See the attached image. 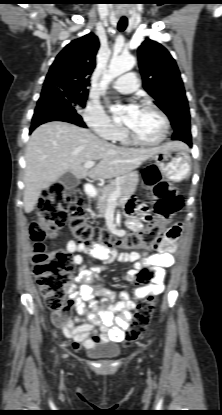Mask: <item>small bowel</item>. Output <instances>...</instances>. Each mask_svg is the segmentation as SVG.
Returning a JSON list of instances; mask_svg holds the SVG:
<instances>
[{"mask_svg":"<svg viewBox=\"0 0 222 415\" xmlns=\"http://www.w3.org/2000/svg\"><path fill=\"white\" fill-rule=\"evenodd\" d=\"M126 214L128 226L140 230L142 224L135 218L133 205L127 206ZM182 229L180 223L172 226L158 244L156 253L143 251L107 255V258H115L119 262L133 265L126 274V280L129 282L135 281L143 269L150 270L149 282L132 291L115 292L103 289L96 282L97 274L105 269L103 266L79 268L76 284L70 289L68 304L51 313L52 323L72 341L74 349L120 343L124 340V333L129 326L136 301L147 296L160 295L164 291L166 269L175 263L172 253L176 250L175 242ZM66 249L74 254V262L77 265L83 263L81 253H93L74 241L67 242ZM97 293L102 295L100 300L96 299ZM72 309H75L78 317H70Z\"/></svg>","mask_w":222,"mask_h":415,"instance_id":"1","label":"small bowel"}]
</instances>
